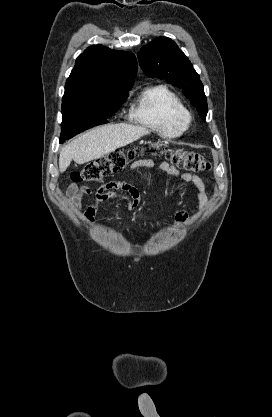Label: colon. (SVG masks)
Wrapping results in <instances>:
<instances>
[{
    "mask_svg": "<svg viewBox=\"0 0 272 417\" xmlns=\"http://www.w3.org/2000/svg\"><path fill=\"white\" fill-rule=\"evenodd\" d=\"M143 149L116 150L89 162L82 169L71 174L74 182H96L120 171L127 161L135 158ZM165 155L172 164L188 172H203L210 169L205 156L180 149H169Z\"/></svg>",
    "mask_w": 272,
    "mask_h": 417,
    "instance_id": "colon-1",
    "label": "colon"
}]
</instances>
